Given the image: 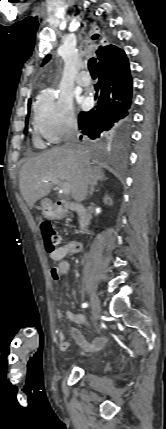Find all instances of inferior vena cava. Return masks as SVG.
Masks as SVG:
<instances>
[{
  "instance_id": "602c4592",
  "label": "inferior vena cava",
  "mask_w": 166,
  "mask_h": 429,
  "mask_svg": "<svg viewBox=\"0 0 166 429\" xmlns=\"http://www.w3.org/2000/svg\"><path fill=\"white\" fill-rule=\"evenodd\" d=\"M65 147L71 149L76 152L79 156L84 154V149L78 144L79 142V133L78 126L74 123L68 130L66 138H65Z\"/></svg>"
}]
</instances>
